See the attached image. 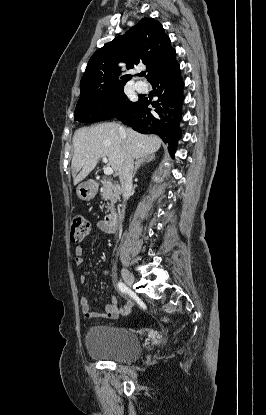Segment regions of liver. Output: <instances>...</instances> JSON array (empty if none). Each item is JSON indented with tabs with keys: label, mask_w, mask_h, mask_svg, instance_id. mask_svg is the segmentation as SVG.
Here are the masks:
<instances>
[{
	"label": "liver",
	"mask_w": 266,
	"mask_h": 415,
	"mask_svg": "<svg viewBox=\"0 0 266 415\" xmlns=\"http://www.w3.org/2000/svg\"><path fill=\"white\" fill-rule=\"evenodd\" d=\"M161 142L156 135H143L115 122L79 128L73 136V183L77 185L85 179L102 157H108V164L117 172L124 153L140 159L158 151Z\"/></svg>",
	"instance_id": "1"
}]
</instances>
